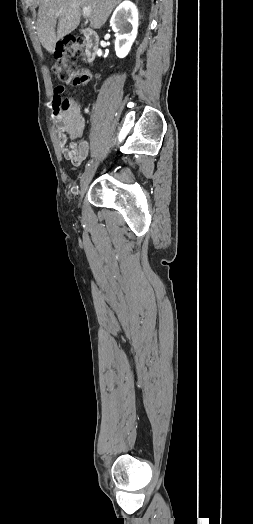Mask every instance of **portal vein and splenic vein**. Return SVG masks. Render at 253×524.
Returning <instances> with one entry per match:
<instances>
[{
    "mask_svg": "<svg viewBox=\"0 0 253 524\" xmlns=\"http://www.w3.org/2000/svg\"><path fill=\"white\" fill-rule=\"evenodd\" d=\"M82 11H83V15L85 17H90L91 16V8L90 7H83L82 8Z\"/></svg>",
    "mask_w": 253,
    "mask_h": 524,
    "instance_id": "18ae733b",
    "label": "portal vein and splenic vein"
}]
</instances>
